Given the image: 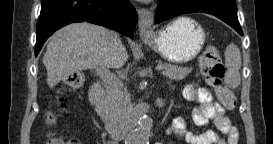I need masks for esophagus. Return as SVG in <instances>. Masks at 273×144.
Returning a JSON list of instances; mask_svg holds the SVG:
<instances>
[{
  "label": "esophagus",
  "mask_w": 273,
  "mask_h": 144,
  "mask_svg": "<svg viewBox=\"0 0 273 144\" xmlns=\"http://www.w3.org/2000/svg\"><path fill=\"white\" fill-rule=\"evenodd\" d=\"M138 27L141 36H149L151 31V26L153 24L154 15L153 13L145 8L138 11Z\"/></svg>",
  "instance_id": "1"
}]
</instances>
